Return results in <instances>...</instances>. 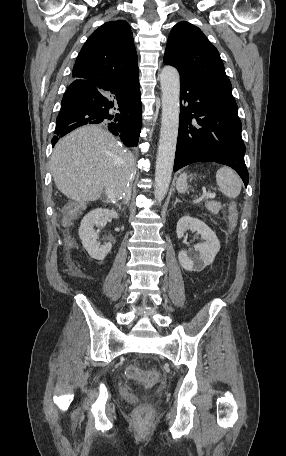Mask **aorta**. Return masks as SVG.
Segmentation results:
<instances>
[{
    "mask_svg": "<svg viewBox=\"0 0 286 456\" xmlns=\"http://www.w3.org/2000/svg\"><path fill=\"white\" fill-rule=\"evenodd\" d=\"M162 117L155 169L154 195L157 201L166 196L174 165L180 114V76L176 68L165 66L160 73Z\"/></svg>",
    "mask_w": 286,
    "mask_h": 456,
    "instance_id": "aorta-1",
    "label": "aorta"
}]
</instances>
